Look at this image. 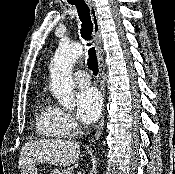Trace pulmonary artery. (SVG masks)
Masks as SVG:
<instances>
[{
  "label": "pulmonary artery",
  "instance_id": "obj_1",
  "mask_svg": "<svg viewBox=\"0 0 175 174\" xmlns=\"http://www.w3.org/2000/svg\"><path fill=\"white\" fill-rule=\"evenodd\" d=\"M74 82L79 86H87L90 83V77L87 72L81 70L73 75Z\"/></svg>",
  "mask_w": 175,
  "mask_h": 174
}]
</instances>
